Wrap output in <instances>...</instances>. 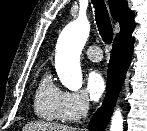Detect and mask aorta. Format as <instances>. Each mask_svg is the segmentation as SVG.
Wrapping results in <instances>:
<instances>
[{
  "label": "aorta",
  "instance_id": "aorta-1",
  "mask_svg": "<svg viewBox=\"0 0 147 131\" xmlns=\"http://www.w3.org/2000/svg\"><path fill=\"white\" fill-rule=\"evenodd\" d=\"M90 24L85 18L69 23L61 32L56 46L55 67L61 83L72 91L82 87L83 75L80 66V53L87 41ZM110 131H123L121 110H115Z\"/></svg>",
  "mask_w": 147,
  "mask_h": 131
}]
</instances>
